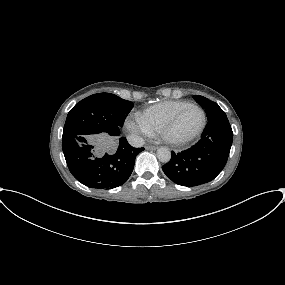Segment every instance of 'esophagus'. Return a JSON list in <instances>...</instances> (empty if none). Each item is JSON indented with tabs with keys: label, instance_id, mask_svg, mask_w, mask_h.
Returning <instances> with one entry per match:
<instances>
[{
	"label": "esophagus",
	"instance_id": "obj_1",
	"mask_svg": "<svg viewBox=\"0 0 285 285\" xmlns=\"http://www.w3.org/2000/svg\"><path fill=\"white\" fill-rule=\"evenodd\" d=\"M145 148H146V150H156L157 149L156 146H152V145H148Z\"/></svg>",
	"mask_w": 285,
	"mask_h": 285
}]
</instances>
